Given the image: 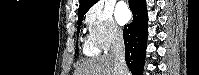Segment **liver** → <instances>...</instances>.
<instances>
[{
    "instance_id": "6515ba94",
    "label": "liver",
    "mask_w": 199,
    "mask_h": 75,
    "mask_svg": "<svg viewBox=\"0 0 199 75\" xmlns=\"http://www.w3.org/2000/svg\"><path fill=\"white\" fill-rule=\"evenodd\" d=\"M114 66V57L111 54L104 55L85 60L76 69L74 75H116Z\"/></svg>"
}]
</instances>
